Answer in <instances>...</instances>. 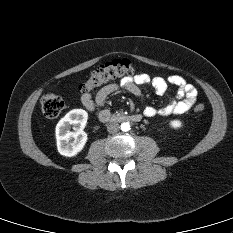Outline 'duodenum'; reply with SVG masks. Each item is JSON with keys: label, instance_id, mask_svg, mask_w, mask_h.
<instances>
[{"label": "duodenum", "instance_id": "duodenum-1", "mask_svg": "<svg viewBox=\"0 0 233 233\" xmlns=\"http://www.w3.org/2000/svg\"><path fill=\"white\" fill-rule=\"evenodd\" d=\"M140 114H129V115H117V116H111V115H103L101 117V121L108 122V121H114V122H139L141 120Z\"/></svg>", "mask_w": 233, "mask_h": 233}]
</instances>
